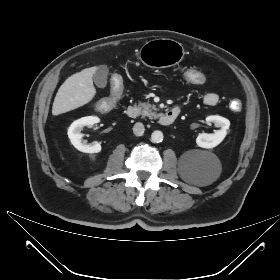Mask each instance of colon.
Listing matches in <instances>:
<instances>
[{
	"label": "colon",
	"instance_id": "obj_1",
	"mask_svg": "<svg viewBox=\"0 0 280 280\" xmlns=\"http://www.w3.org/2000/svg\"><path fill=\"white\" fill-rule=\"evenodd\" d=\"M179 78L192 86L202 87L207 82V77L204 72L194 67H181L178 72ZM112 96L109 100H103L97 104L99 112H107L113 104L121 97L123 78L119 74H114L110 78ZM230 108L233 111H240L242 104L239 100L230 102Z\"/></svg>",
	"mask_w": 280,
	"mask_h": 280
}]
</instances>
